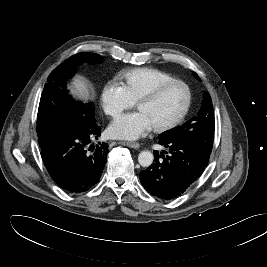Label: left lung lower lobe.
Returning a JSON list of instances; mask_svg holds the SVG:
<instances>
[{
  "mask_svg": "<svg viewBox=\"0 0 267 267\" xmlns=\"http://www.w3.org/2000/svg\"><path fill=\"white\" fill-rule=\"evenodd\" d=\"M159 144L167 151H154V163L140 172V181L151 195L172 199L200 177L210 154L187 141L159 139Z\"/></svg>",
  "mask_w": 267,
  "mask_h": 267,
  "instance_id": "left-lung-lower-lobe-1",
  "label": "left lung lower lobe"
}]
</instances>
